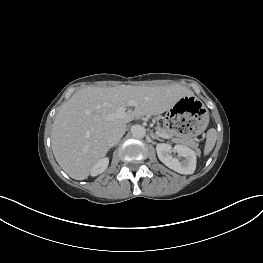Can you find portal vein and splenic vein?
Listing matches in <instances>:
<instances>
[{
	"mask_svg": "<svg viewBox=\"0 0 263 263\" xmlns=\"http://www.w3.org/2000/svg\"><path fill=\"white\" fill-rule=\"evenodd\" d=\"M128 106H136V102L129 101ZM126 109L127 108L125 106L118 107L115 113L109 115V119L124 118L127 114ZM157 134L163 138H166V135L160 133L159 131H157Z\"/></svg>",
	"mask_w": 263,
	"mask_h": 263,
	"instance_id": "18ae733b",
	"label": "portal vein and splenic vein"
}]
</instances>
